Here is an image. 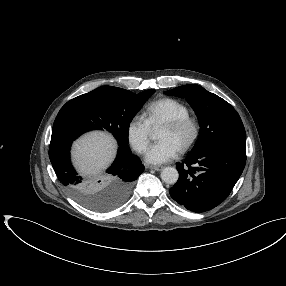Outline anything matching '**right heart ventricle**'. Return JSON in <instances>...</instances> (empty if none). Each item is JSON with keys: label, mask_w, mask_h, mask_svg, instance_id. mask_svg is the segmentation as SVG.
Instances as JSON below:
<instances>
[{"label": "right heart ventricle", "mask_w": 286, "mask_h": 286, "mask_svg": "<svg viewBox=\"0 0 286 286\" xmlns=\"http://www.w3.org/2000/svg\"><path fill=\"white\" fill-rule=\"evenodd\" d=\"M190 114L188 106L173 98H162L147 105L145 117L151 127H158L165 122Z\"/></svg>", "instance_id": "1"}]
</instances>
